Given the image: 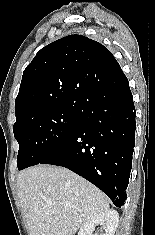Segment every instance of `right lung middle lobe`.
<instances>
[{
	"instance_id": "1",
	"label": "right lung middle lobe",
	"mask_w": 155,
	"mask_h": 235,
	"mask_svg": "<svg viewBox=\"0 0 155 235\" xmlns=\"http://www.w3.org/2000/svg\"><path fill=\"white\" fill-rule=\"evenodd\" d=\"M78 107L49 105L26 111L13 125L19 170L39 164L80 127Z\"/></svg>"
}]
</instances>
